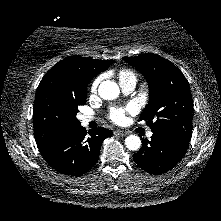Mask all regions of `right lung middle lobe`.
<instances>
[{
    "mask_svg": "<svg viewBox=\"0 0 221 221\" xmlns=\"http://www.w3.org/2000/svg\"><path fill=\"white\" fill-rule=\"evenodd\" d=\"M85 103L86 92L73 95L50 88L36 92L33 121L35 138L50 140L81 125L76 115L78 107Z\"/></svg>",
    "mask_w": 221,
    "mask_h": 221,
    "instance_id": "1",
    "label": "right lung middle lobe"
}]
</instances>
